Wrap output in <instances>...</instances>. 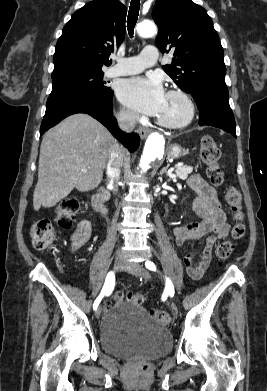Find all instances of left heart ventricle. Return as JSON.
<instances>
[{
	"label": "left heart ventricle",
	"mask_w": 267,
	"mask_h": 391,
	"mask_svg": "<svg viewBox=\"0 0 267 391\" xmlns=\"http://www.w3.org/2000/svg\"><path fill=\"white\" fill-rule=\"evenodd\" d=\"M186 113V105L180 98L167 95L159 117L176 122L182 120L186 116Z\"/></svg>",
	"instance_id": "b2bd125f"
}]
</instances>
